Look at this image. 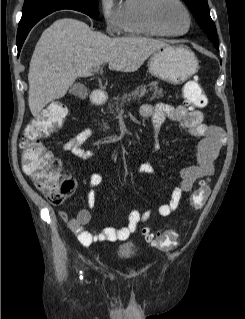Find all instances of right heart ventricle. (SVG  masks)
<instances>
[{
	"label": "right heart ventricle",
	"mask_w": 245,
	"mask_h": 319,
	"mask_svg": "<svg viewBox=\"0 0 245 319\" xmlns=\"http://www.w3.org/2000/svg\"><path fill=\"white\" fill-rule=\"evenodd\" d=\"M150 0H123L120 5L122 32L130 35L164 36L149 21L147 7Z\"/></svg>",
	"instance_id": "e07e8e85"
}]
</instances>
